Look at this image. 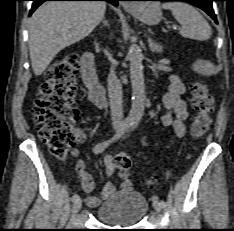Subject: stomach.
<instances>
[{
    "label": "stomach",
    "instance_id": "stomach-1",
    "mask_svg": "<svg viewBox=\"0 0 234 231\" xmlns=\"http://www.w3.org/2000/svg\"><path fill=\"white\" fill-rule=\"evenodd\" d=\"M133 15L148 25H156L162 19V12L158 3L144 4Z\"/></svg>",
    "mask_w": 234,
    "mask_h": 231
}]
</instances>
